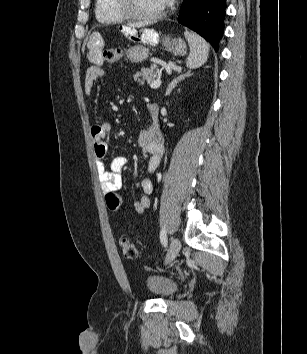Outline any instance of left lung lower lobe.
Instances as JSON below:
<instances>
[{"mask_svg": "<svg viewBox=\"0 0 307 354\" xmlns=\"http://www.w3.org/2000/svg\"><path fill=\"white\" fill-rule=\"evenodd\" d=\"M226 0H183L178 22L204 37L215 49L224 31Z\"/></svg>", "mask_w": 307, "mask_h": 354, "instance_id": "obj_1", "label": "left lung lower lobe"}]
</instances>
